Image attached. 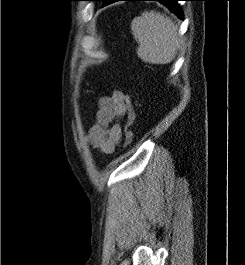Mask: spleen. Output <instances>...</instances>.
<instances>
[{
  "label": "spleen",
  "mask_w": 245,
  "mask_h": 265,
  "mask_svg": "<svg viewBox=\"0 0 245 265\" xmlns=\"http://www.w3.org/2000/svg\"><path fill=\"white\" fill-rule=\"evenodd\" d=\"M131 30L139 44L137 54L145 63L168 64L175 59L181 37L169 17L145 11L132 20Z\"/></svg>",
  "instance_id": "obj_1"
}]
</instances>
